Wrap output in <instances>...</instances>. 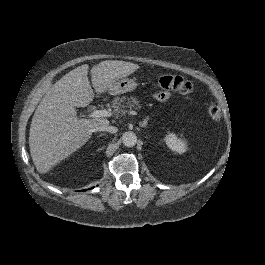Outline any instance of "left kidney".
Segmentation results:
<instances>
[{
  "mask_svg": "<svg viewBox=\"0 0 265 265\" xmlns=\"http://www.w3.org/2000/svg\"><path fill=\"white\" fill-rule=\"evenodd\" d=\"M182 136H184V133L182 132L174 133L173 131H168L166 132L163 141L171 152L183 154L189 149V140Z\"/></svg>",
  "mask_w": 265,
  "mask_h": 265,
  "instance_id": "left-kidney-1",
  "label": "left kidney"
}]
</instances>
